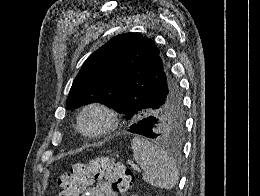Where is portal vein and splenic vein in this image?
Masks as SVG:
<instances>
[{"instance_id":"1","label":"portal vein and splenic vein","mask_w":260,"mask_h":196,"mask_svg":"<svg viewBox=\"0 0 260 196\" xmlns=\"http://www.w3.org/2000/svg\"><path fill=\"white\" fill-rule=\"evenodd\" d=\"M131 168H133V170H137V172H140V168H138V166H135V164H131Z\"/></svg>"}]
</instances>
